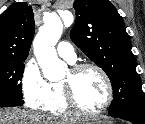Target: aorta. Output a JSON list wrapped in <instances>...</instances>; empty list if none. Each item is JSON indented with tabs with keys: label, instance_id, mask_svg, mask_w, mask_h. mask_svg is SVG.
<instances>
[{
	"label": "aorta",
	"instance_id": "1",
	"mask_svg": "<svg viewBox=\"0 0 145 124\" xmlns=\"http://www.w3.org/2000/svg\"><path fill=\"white\" fill-rule=\"evenodd\" d=\"M63 31L61 19L56 14H48L44 25L40 28L34 41V54L42 69L44 77L49 81H57L65 76L66 64L58 58L55 45Z\"/></svg>",
	"mask_w": 145,
	"mask_h": 124
}]
</instances>
